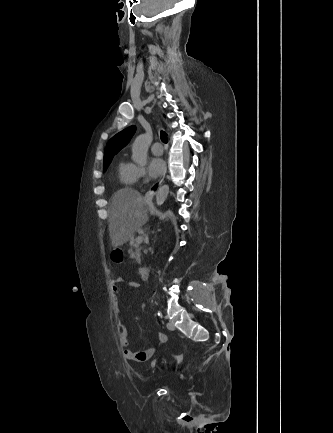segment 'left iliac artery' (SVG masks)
Masks as SVG:
<instances>
[{"mask_svg":"<svg viewBox=\"0 0 333 433\" xmlns=\"http://www.w3.org/2000/svg\"><path fill=\"white\" fill-rule=\"evenodd\" d=\"M158 316H161L160 312H158Z\"/></svg>","mask_w":333,"mask_h":433,"instance_id":"1","label":"left iliac artery"}]
</instances>
